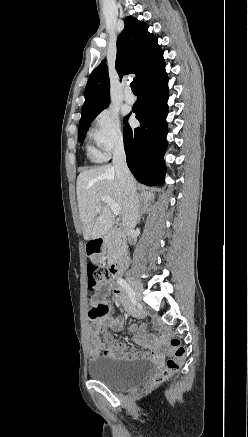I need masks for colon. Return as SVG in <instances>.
Masks as SVG:
<instances>
[{
  "label": "colon",
  "mask_w": 248,
  "mask_h": 437,
  "mask_svg": "<svg viewBox=\"0 0 248 437\" xmlns=\"http://www.w3.org/2000/svg\"><path fill=\"white\" fill-rule=\"evenodd\" d=\"M87 276L89 290L91 292H97L100 285L105 284L109 280L111 276V270L106 266L89 263L87 267ZM92 305L101 304L93 303ZM170 352L171 355L166 362V366L151 379L147 385V388L159 386L180 368L185 350L179 339L171 340Z\"/></svg>",
  "instance_id": "colon-1"
}]
</instances>
